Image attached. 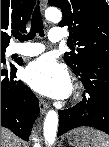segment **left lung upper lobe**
Instances as JSON below:
<instances>
[{"label":"left lung upper lobe","instance_id":"left-lung-upper-lobe-1","mask_svg":"<svg viewBox=\"0 0 109 147\" xmlns=\"http://www.w3.org/2000/svg\"><path fill=\"white\" fill-rule=\"evenodd\" d=\"M49 5L61 8L59 26H67L70 43L79 46L64 54L76 74L83 72L91 58L109 60V5L105 0H49Z\"/></svg>","mask_w":109,"mask_h":147}]
</instances>
